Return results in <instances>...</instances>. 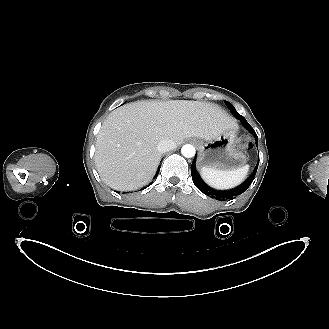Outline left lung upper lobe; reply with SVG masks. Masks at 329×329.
<instances>
[{
    "label": "left lung upper lobe",
    "instance_id": "obj_1",
    "mask_svg": "<svg viewBox=\"0 0 329 329\" xmlns=\"http://www.w3.org/2000/svg\"><path fill=\"white\" fill-rule=\"evenodd\" d=\"M225 104L227 105V107L230 109V111L232 112V114L238 118L239 120H241V118H244L243 116H241L237 111L236 109L234 108V106L229 103L228 101H225Z\"/></svg>",
    "mask_w": 329,
    "mask_h": 329
}]
</instances>
